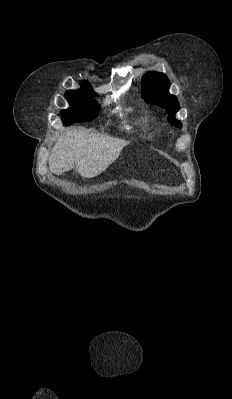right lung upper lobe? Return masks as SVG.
Instances as JSON below:
<instances>
[{
    "label": "right lung upper lobe",
    "mask_w": 232,
    "mask_h": 399,
    "mask_svg": "<svg viewBox=\"0 0 232 399\" xmlns=\"http://www.w3.org/2000/svg\"><path fill=\"white\" fill-rule=\"evenodd\" d=\"M80 86V89L70 90L69 92H66L65 95H96L88 81H82L80 83Z\"/></svg>",
    "instance_id": "obj_1"
}]
</instances>
